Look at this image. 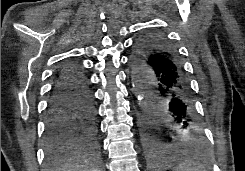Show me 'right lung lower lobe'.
<instances>
[{
	"label": "right lung lower lobe",
	"mask_w": 245,
	"mask_h": 171,
	"mask_svg": "<svg viewBox=\"0 0 245 171\" xmlns=\"http://www.w3.org/2000/svg\"><path fill=\"white\" fill-rule=\"evenodd\" d=\"M97 137L92 90L83 68L74 60L59 68L48 101L46 140L50 158L72 147H91Z\"/></svg>",
	"instance_id": "98d812e1"
}]
</instances>
